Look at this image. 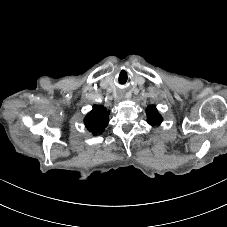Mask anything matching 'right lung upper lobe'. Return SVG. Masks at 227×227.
I'll use <instances>...</instances> for the list:
<instances>
[{
    "mask_svg": "<svg viewBox=\"0 0 227 227\" xmlns=\"http://www.w3.org/2000/svg\"><path fill=\"white\" fill-rule=\"evenodd\" d=\"M108 121L109 111L101 105H94L92 111L84 119L85 126L95 136L103 132Z\"/></svg>",
    "mask_w": 227,
    "mask_h": 227,
    "instance_id": "obj_1",
    "label": "right lung upper lobe"
}]
</instances>
